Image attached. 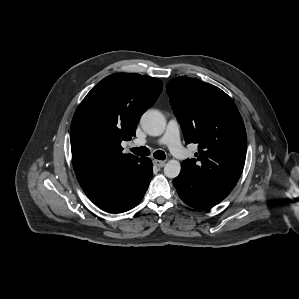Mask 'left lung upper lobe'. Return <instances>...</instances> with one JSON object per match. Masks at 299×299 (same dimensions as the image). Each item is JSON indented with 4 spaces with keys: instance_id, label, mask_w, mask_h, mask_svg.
Here are the masks:
<instances>
[{
    "instance_id": "5c2ea615",
    "label": "left lung upper lobe",
    "mask_w": 299,
    "mask_h": 299,
    "mask_svg": "<svg viewBox=\"0 0 299 299\" xmlns=\"http://www.w3.org/2000/svg\"><path fill=\"white\" fill-rule=\"evenodd\" d=\"M167 93L185 142L198 144L197 158L184 160L181 167L232 190L247 150L245 126L232 99L218 87L189 77L171 79Z\"/></svg>"
}]
</instances>
